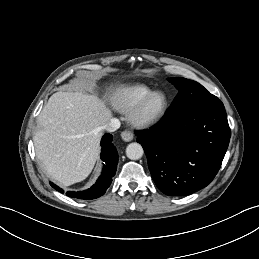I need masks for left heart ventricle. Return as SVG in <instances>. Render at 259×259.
<instances>
[{
  "mask_svg": "<svg viewBox=\"0 0 259 259\" xmlns=\"http://www.w3.org/2000/svg\"><path fill=\"white\" fill-rule=\"evenodd\" d=\"M163 106V98L161 95H156L150 99L145 108L146 115H153L160 111Z\"/></svg>",
  "mask_w": 259,
  "mask_h": 259,
  "instance_id": "left-heart-ventricle-1",
  "label": "left heart ventricle"
}]
</instances>
